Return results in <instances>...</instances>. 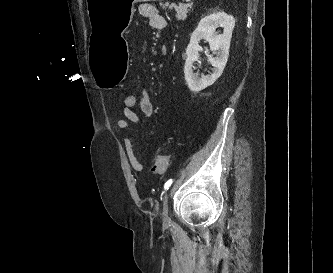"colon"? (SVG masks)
I'll return each instance as SVG.
<instances>
[{"label": "colon", "mask_w": 333, "mask_h": 273, "mask_svg": "<svg viewBox=\"0 0 333 273\" xmlns=\"http://www.w3.org/2000/svg\"><path fill=\"white\" fill-rule=\"evenodd\" d=\"M138 103V95L135 94H127L124 97V107L128 109H133L137 106ZM169 166V157L165 154H159L155 157L152 171L155 173H163L167 170Z\"/></svg>", "instance_id": "colon-1"}]
</instances>
